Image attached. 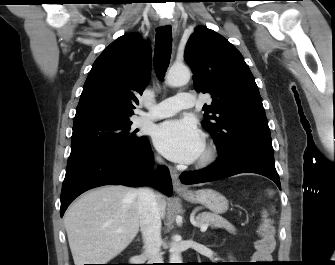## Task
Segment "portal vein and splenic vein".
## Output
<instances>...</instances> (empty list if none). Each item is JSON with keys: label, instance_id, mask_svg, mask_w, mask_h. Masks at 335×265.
I'll use <instances>...</instances> for the list:
<instances>
[{"label": "portal vein and splenic vein", "instance_id": "1", "mask_svg": "<svg viewBox=\"0 0 335 265\" xmlns=\"http://www.w3.org/2000/svg\"><path fill=\"white\" fill-rule=\"evenodd\" d=\"M207 228H208V224H207V223H204V224L200 225V230H201L202 232L206 231Z\"/></svg>", "mask_w": 335, "mask_h": 265}]
</instances>
